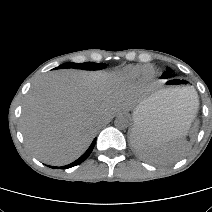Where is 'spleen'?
Wrapping results in <instances>:
<instances>
[{
	"label": "spleen",
	"mask_w": 212,
	"mask_h": 212,
	"mask_svg": "<svg viewBox=\"0 0 212 212\" xmlns=\"http://www.w3.org/2000/svg\"><path fill=\"white\" fill-rule=\"evenodd\" d=\"M172 99L176 100L187 112L189 121L194 117L199 101L198 95L193 87H183L173 90ZM135 132H139L141 146H150L152 151L148 161L165 164L177 161L190 148V143L184 139V136L177 138H166L162 134L151 131L147 127L146 120L141 117L134 118ZM197 129L191 132V139H194ZM143 158V157H142Z\"/></svg>",
	"instance_id": "3e777b00"
}]
</instances>
